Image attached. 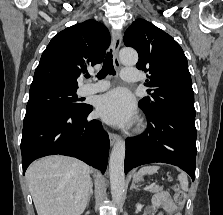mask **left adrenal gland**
<instances>
[{"instance_id": "1", "label": "left adrenal gland", "mask_w": 223, "mask_h": 215, "mask_svg": "<svg viewBox=\"0 0 223 215\" xmlns=\"http://www.w3.org/2000/svg\"><path fill=\"white\" fill-rule=\"evenodd\" d=\"M130 189H139V187L135 185V181H132Z\"/></svg>"}]
</instances>
